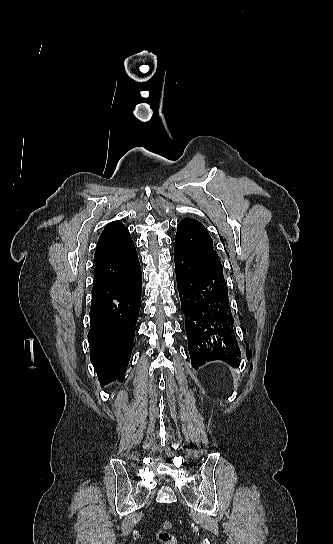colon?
<instances>
[{
	"mask_svg": "<svg viewBox=\"0 0 333 544\" xmlns=\"http://www.w3.org/2000/svg\"><path fill=\"white\" fill-rule=\"evenodd\" d=\"M173 524L170 521H164L156 533L157 540L161 544H177L175 536L171 533Z\"/></svg>",
	"mask_w": 333,
	"mask_h": 544,
	"instance_id": "5ec220e1",
	"label": "colon"
}]
</instances>
